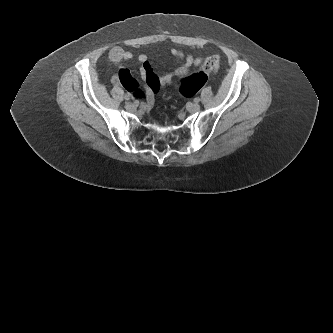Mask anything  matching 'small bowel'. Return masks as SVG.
<instances>
[{
	"instance_id": "1",
	"label": "small bowel",
	"mask_w": 333,
	"mask_h": 333,
	"mask_svg": "<svg viewBox=\"0 0 333 333\" xmlns=\"http://www.w3.org/2000/svg\"><path fill=\"white\" fill-rule=\"evenodd\" d=\"M170 53L180 61V64L173 71L162 75L155 73L145 54H140L137 58L140 63L139 73L145 83V108H149L153 104L155 95L162 88L173 84L177 78L186 76L191 66H198L202 62L200 58H195L176 48L171 49ZM108 57L111 62L118 66V72L112 77V83L116 85L123 84L128 93L141 97L143 94L139 91L141 83L138 80H134L130 71L123 65L124 61H129L133 58V54L115 46L109 50Z\"/></svg>"
}]
</instances>
